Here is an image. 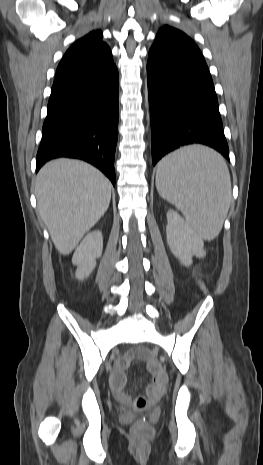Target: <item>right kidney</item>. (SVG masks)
I'll return each instance as SVG.
<instances>
[{
  "label": "right kidney",
  "mask_w": 263,
  "mask_h": 465,
  "mask_svg": "<svg viewBox=\"0 0 263 465\" xmlns=\"http://www.w3.org/2000/svg\"><path fill=\"white\" fill-rule=\"evenodd\" d=\"M103 250L102 232L97 230L85 236L76 248L72 263L77 266L76 278L84 280L96 267V259L100 258Z\"/></svg>",
  "instance_id": "ca27d5eb"
}]
</instances>
